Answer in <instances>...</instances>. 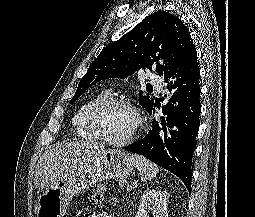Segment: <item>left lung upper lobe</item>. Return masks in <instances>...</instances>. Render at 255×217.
<instances>
[{"instance_id": "obj_1", "label": "left lung upper lobe", "mask_w": 255, "mask_h": 217, "mask_svg": "<svg viewBox=\"0 0 255 217\" xmlns=\"http://www.w3.org/2000/svg\"><path fill=\"white\" fill-rule=\"evenodd\" d=\"M192 45L191 35L179 18L166 11H157L101 51L80 80L70 102L101 80L126 78L140 67L152 70V65L160 58L167 65L158 63L156 71L163 75L176 66L180 56ZM139 103L148 112L153 107V101L149 96H142V91Z\"/></svg>"}]
</instances>
